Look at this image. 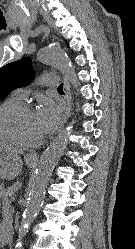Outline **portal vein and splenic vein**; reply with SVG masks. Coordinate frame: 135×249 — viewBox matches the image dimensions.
<instances>
[{"label": "portal vein and splenic vein", "instance_id": "portal-vein-and-splenic-vein-1", "mask_svg": "<svg viewBox=\"0 0 135 249\" xmlns=\"http://www.w3.org/2000/svg\"><path fill=\"white\" fill-rule=\"evenodd\" d=\"M10 199L12 202L16 200V198L14 196H12Z\"/></svg>", "mask_w": 135, "mask_h": 249}]
</instances>
